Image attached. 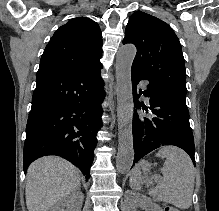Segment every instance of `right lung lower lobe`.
Listing matches in <instances>:
<instances>
[{
    "label": "right lung lower lobe",
    "mask_w": 219,
    "mask_h": 211,
    "mask_svg": "<svg viewBox=\"0 0 219 211\" xmlns=\"http://www.w3.org/2000/svg\"><path fill=\"white\" fill-rule=\"evenodd\" d=\"M101 68L37 73L26 127L25 172L37 158L58 155L90 178L105 96Z\"/></svg>",
    "instance_id": "obj_1"
}]
</instances>
